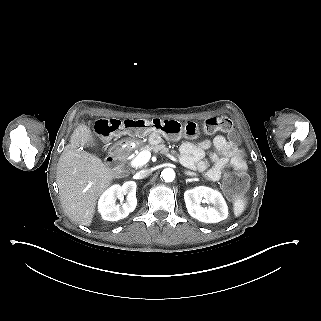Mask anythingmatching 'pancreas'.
<instances>
[{"mask_svg":"<svg viewBox=\"0 0 321 321\" xmlns=\"http://www.w3.org/2000/svg\"><path fill=\"white\" fill-rule=\"evenodd\" d=\"M138 151H153L155 153L160 152L162 154H167L169 153V149L164 145V144H160V145H156V146H151V145H143L142 143L136 145V148ZM172 154H175L176 152L174 150L171 151ZM196 175V173H195Z\"/></svg>","mask_w":321,"mask_h":321,"instance_id":"1","label":"pancreas"}]
</instances>
